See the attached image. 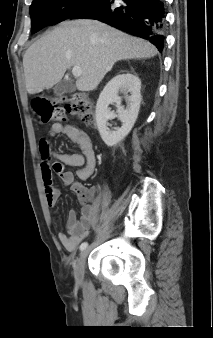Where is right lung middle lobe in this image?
<instances>
[{
    "label": "right lung middle lobe",
    "instance_id": "obj_1",
    "mask_svg": "<svg viewBox=\"0 0 213 338\" xmlns=\"http://www.w3.org/2000/svg\"><path fill=\"white\" fill-rule=\"evenodd\" d=\"M95 0H33L30 6L31 32L55 25Z\"/></svg>",
    "mask_w": 213,
    "mask_h": 338
}]
</instances>
